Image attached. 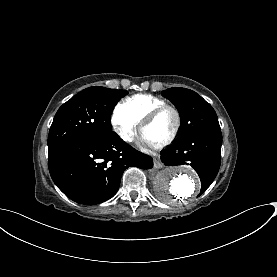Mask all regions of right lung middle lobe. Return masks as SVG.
<instances>
[{
  "label": "right lung middle lobe",
  "instance_id": "dd1d6c3e",
  "mask_svg": "<svg viewBox=\"0 0 277 277\" xmlns=\"http://www.w3.org/2000/svg\"><path fill=\"white\" fill-rule=\"evenodd\" d=\"M125 90L95 86L84 89L57 111L48 136V149L76 141L114 136L111 114Z\"/></svg>",
  "mask_w": 277,
  "mask_h": 277
}]
</instances>
